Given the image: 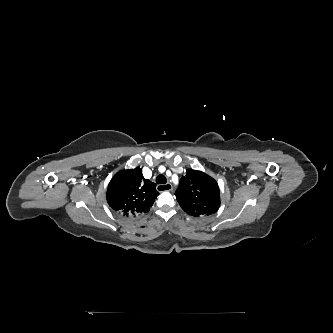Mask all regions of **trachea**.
Masks as SVG:
<instances>
[{
  "label": "trachea",
  "instance_id": "1",
  "mask_svg": "<svg viewBox=\"0 0 333 333\" xmlns=\"http://www.w3.org/2000/svg\"><path fill=\"white\" fill-rule=\"evenodd\" d=\"M167 182V179L164 175H158L156 177V183L157 184H165Z\"/></svg>",
  "mask_w": 333,
  "mask_h": 333
}]
</instances>
